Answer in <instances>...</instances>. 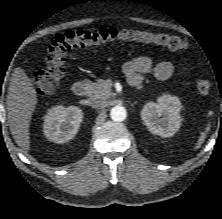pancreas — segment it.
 <instances>
[{
  "mask_svg": "<svg viewBox=\"0 0 222 219\" xmlns=\"http://www.w3.org/2000/svg\"><path fill=\"white\" fill-rule=\"evenodd\" d=\"M87 84L89 87V97L97 99H107L111 96L110 88L106 86L105 81L103 79H100L95 83L87 81Z\"/></svg>",
  "mask_w": 222,
  "mask_h": 219,
  "instance_id": "1",
  "label": "pancreas"
}]
</instances>
